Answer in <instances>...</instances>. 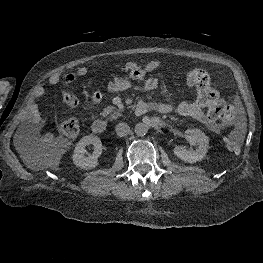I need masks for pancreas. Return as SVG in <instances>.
Instances as JSON below:
<instances>
[{
    "label": "pancreas",
    "mask_w": 263,
    "mask_h": 263,
    "mask_svg": "<svg viewBox=\"0 0 263 263\" xmlns=\"http://www.w3.org/2000/svg\"><path fill=\"white\" fill-rule=\"evenodd\" d=\"M108 114H111V116H110L111 120L117 119L118 117H120L122 115L120 109L115 110V108L112 106H108V107L104 108L103 111L101 112V115H103V116H106Z\"/></svg>",
    "instance_id": "1"
}]
</instances>
